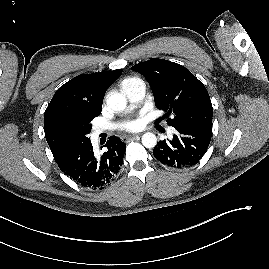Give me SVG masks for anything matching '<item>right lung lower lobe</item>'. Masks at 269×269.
<instances>
[{
    "mask_svg": "<svg viewBox=\"0 0 269 269\" xmlns=\"http://www.w3.org/2000/svg\"><path fill=\"white\" fill-rule=\"evenodd\" d=\"M107 151L100 157L93 152L91 142L54 157L59 168L82 187L102 189L109 185L122 166L126 145L112 136L105 144Z\"/></svg>",
    "mask_w": 269,
    "mask_h": 269,
    "instance_id": "obj_1",
    "label": "right lung lower lobe"
}]
</instances>
